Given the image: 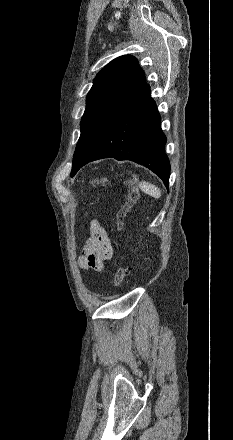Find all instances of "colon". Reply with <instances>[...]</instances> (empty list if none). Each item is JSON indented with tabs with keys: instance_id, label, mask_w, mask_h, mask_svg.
I'll return each mask as SVG.
<instances>
[{
	"instance_id": "5ec220e1",
	"label": "colon",
	"mask_w": 233,
	"mask_h": 440,
	"mask_svg": "<svg viewBox=\"0 0 233 440\" xmlns=\"http://www.w3.org/2000/svg\"><path fill=\"white\" fill-rule=\"evenodd\" d=\"M87 182L91 186H106L111 183V180L106 176H101V177H95L89 179ZM120 182L128 188L127 200L119 209L116 217L117 229L118 231L121 232L124 228L125 217L135 206V204L140 198V191L136 186L133 177L123 175L120 177ZM126 275H127V269L123 266H119L114 275V280H113L114 286L119 287L123 283Z\"/></svg>"
}]
</instances>
